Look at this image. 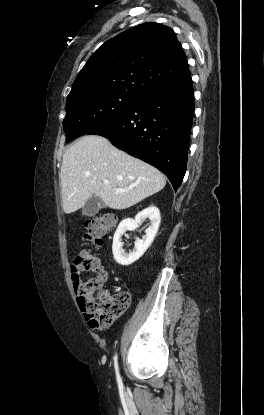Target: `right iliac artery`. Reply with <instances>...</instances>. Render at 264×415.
<instances>
[{"mask_svg": "<svg viewBox=\"0 0 264 415\" xmlns=\"http://www.w3.org/2000/svg\"><path fill=\"white\" fill-rule=\"evenodd\" d=\"M117 359H118L117 354H115V356H114V366H115V371H116V378H117L118 385L121 386L122 385V380H121V377H120V374H119Z\"/></svg>", "mask_w": 264, "mask_h": 415, "instance_id": "right-iliac-artery-1", "label": "right iliac artery"}]
</instances>
